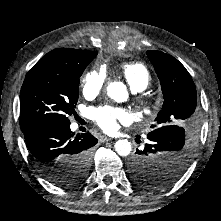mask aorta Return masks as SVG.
<instances>
[{"label":"aorta","mask_w":221,"mask_h":221,"mask_svg":"<svg viewBox=\"0 0 221 221\" xmlns=\"http://www.w3.org/2000/svg\"><path fill=\"white\" fill-rule=\"evenodd\" d=\"M107 94L110 98L122 102L128 93L121 82H111L107 86ZM132 145L127 139H120L115 143V150L120 156H127L131 152Z\"/></svg>","instance_id":"1"}]
</instances>
